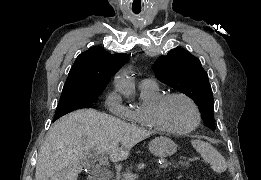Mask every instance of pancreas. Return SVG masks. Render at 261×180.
<instances>
[{"instance_id":"cf45deb5","label":"pancreas","mask_w":261,"mask_h":180,"mask_svg":"<svg viewBox=\"0 0 261 180\" xmlns=\"http://www.w3.org/2000/svg\"><path fill=\"white\" fill-rule=\"evenodd\" d=\"M191 162H189L188 159H176V162L173 166L174 170H187L188 167H191ZM134 169V163H131V165L127 166L126 172H124V175L130 174V170ZM112 180H123L120 173H115L114 177H112Z\"/></svg>"}]
</instances>
